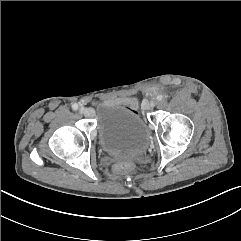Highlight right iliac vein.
I'll return each mask as SVG.
<instances>
[{"instance_id":"63e3f726","label":"right iliac vein","mask_w":241,"mask_h":241,"mask_svg":"<svg viewBox=\"0 0 241 241\" xmlns=\"http://www.w3.org/2000/svg\"><path fill=\"white\" fill-rule=\"evenodd\" d=\"M80 113L84 114L85 116H90L91 115V111L90 109L87 108H80Z\"/></svg>"}]
</instances>
